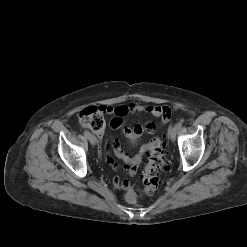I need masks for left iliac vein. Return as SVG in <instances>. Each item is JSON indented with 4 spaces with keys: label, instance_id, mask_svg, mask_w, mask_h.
Instances as JSON below:
<instances>
[{
    "label": "left iliac vein",
    "instance_id": "left-iliac-vein-1",
    "mask_svg": "<svg viewBox=\"0 0 247 247\" xmlns=\"http://www.w3.org/2000/svg\"><path fill=\"white\" fill-rule=\"evenodd\" d=\"M178 130H179V129L177 128L176 125L169 128L168 134H169V137H170V139H171L172 141H174V140L176 139V135H177V133H178Z\"/></svg>",
    "mask_w": 247,
    "mask_h": 247
}]
</instances>
